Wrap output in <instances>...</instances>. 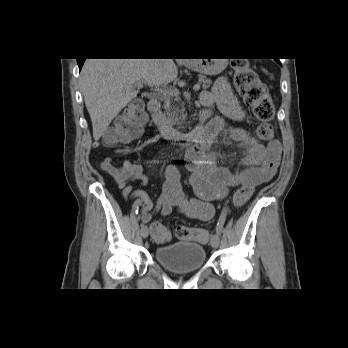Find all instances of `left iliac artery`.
<instances>
[{
    "label": "left iliac artery",
    "mask_w": 348,
    "mask_h": 348,
    "mask_svg": "<svg viewBox=\"0 0 348 348\" xmlns=\"http://www.w3.org/2000/svg\"><path fill=\"white\" fill-rule=\"evenodd\" d=\"M228 214H230V209L228 208L222 209V212H221V215L219 216L218 224L216 227V233L218 235H221L222 224L224 223V220Z\"/></svg>",
    "instance_id": "obj_1"
}]
</instances>
